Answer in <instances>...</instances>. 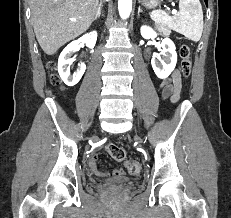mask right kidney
I'll return each mask as SVG.
<instances>
[{
    "label": "right kidney",
    "mask_w": 231,
    "mask_h": 218,
    "mask_svg": "<svg viewBox=\"0 0 231 218\" xmlns=\"http://www.w3.org/2000/svg\"><path fill=\"white\" fill-rule=\"evenodd\" d=\"M97 32L93 31L89 34L82 36L80 39L75 40L68 44L61 52L58 60V72L61 79L68 86L76 85L83 76L86 65L84 63L79 64L77 70L71 74L70 65L72 63L71 56L73 53L79 50L80 45L85 44L89 48H93L96 44Z\"/></svg>",
    "instance_id": "ca27d5eb"
}]
</instances>
